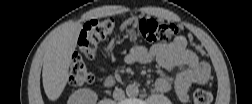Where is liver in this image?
<instances>
[{
	"mask_svg": "<svg viewBox=\"0 0 252 104\" xmlns=\"http://www.w3.org/2000/svg\"><path fill=\"white\" fill-rule=\"evenodd\" d=\"M82 28L79 22L62 27L45 51L42 80L45 94L52 101L60 97L67 84L71 57Z\"/></svg>",
	"mask_w": 252,
	"mask_h": 104,
	"instance_id": "liver-1",
	"label": "liver"
}]
</instances>
